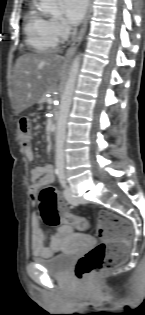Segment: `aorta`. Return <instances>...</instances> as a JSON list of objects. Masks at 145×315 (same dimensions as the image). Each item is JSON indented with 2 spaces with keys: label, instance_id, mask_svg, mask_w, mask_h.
<instances>
[{
  "label": "aorta",
  "instance_id": "762f6f07",
  "mask_svg": "<svg viewBox=\"0 0 145 315\" xmlns=\"http://www.w3.org/2000/svg\"><path fill=\"white\" fill-rule=\"evenodd\" d=\"M58 0H40L39 9L44 13L58 14ZM80 68V55H77L70 67L69 76L61 97L59 115L57 119L56 138H55V166L58 175L64 174L65 154L64 143L66 138L67 118L70 112L73 93Z\"/></svg>",
  "mask_w": 145,
  "mask_h": 315
}]
</instances>
